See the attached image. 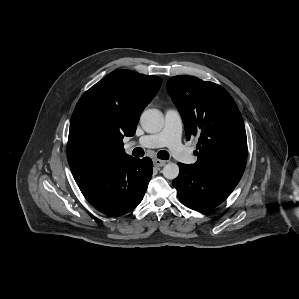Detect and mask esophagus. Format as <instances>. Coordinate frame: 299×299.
<instances>
[{
	"instance_id": "obj_1",
	"label": "esophagus",
	"mask_w": 299,
	"mask_h": 299,
	"mask_svg": "<svg viewBox=\"0 0 299 299\" xmlns=\"http://www.w3.org/2000/svg\"><path fill=\"white\" fill-rule=\"evenodd\" d=\"M153 164L157 167H163L166 164V161L154 158Z\"/></svg>"
}]
</instances>
